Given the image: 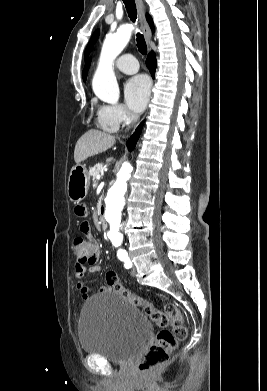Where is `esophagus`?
I'll return each instance as SVG.
<instances>
[{"label": "esophagus", "mask_w": 267, "mask_h": 391, "mask_svg": "<svg viewBox=\"0 0 267 391\" xmlns=\"http://www.w3.org/2000/svg\"><path fill=\"white\" fill-rule=\"evenodd\" d=\"M138 8V14H139V19H140V25L143 31V34L146 38L147 41L151 39V29L146 21L145 18V5L143 3V0H135Z\"/></svg>", "instance_id": "34e87169"}]
</instances>
